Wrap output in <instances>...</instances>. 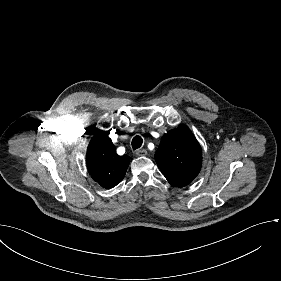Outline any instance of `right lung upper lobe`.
I'll use <instances>...</instances> for the list:
<instances>
[{"instance_id": "right-lung-upper-lobe-1", "label": "right lung upper lobe", "mask_w": 281, "mask_h": 281, "mask_svg": "<svg viewBox=\"0 0 281 281\" xmlns=\"http://www.w3.org/2000/svg\"><path fill=\"white\" fill-rule=\"evenodd\" d=\"M86 154V163L92 178L106 189L119 184L129 165L128 156H118L106 131L94 130Z\"/></svg>"}]
</instances>
